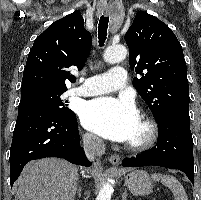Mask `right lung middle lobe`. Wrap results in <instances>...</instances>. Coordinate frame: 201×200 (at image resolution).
I'll return each instance as SVG.
<instances>
[{"label": "right lung middle lobe", "instance_id": "obj_1", "mask_svg": "<svg viewBox=\"0 0 201 200\" xmlns=\"http://www.w3.org/2000/svg\"><path fill=\"white\" fill-rule=\"evenodd\" d=\"M65 91H35L21 94L18 114L31 110H50L61 115H71L74 112L65 107L60 96Z\"/></svg>", "mask_w": 201, "mask_h": 200}]
</instances>
